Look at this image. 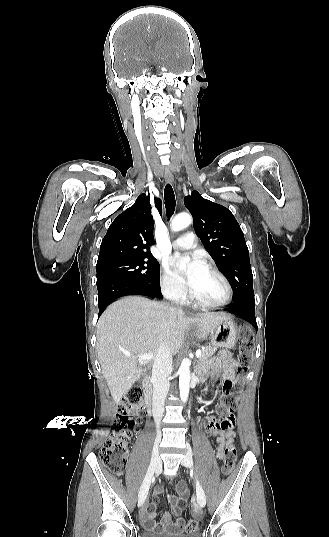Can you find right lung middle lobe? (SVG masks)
Listing matches in <instances>:
<instances>
[{"instance_id": "dd1d6c3e", "label": "right lung middle lobe", "mask_w": 329, "mask_h": 537, "mask_svg": "<svg viewBox=\"0 0 329 537\" xmlns=\"http://www.w3.org/2000/svg\"><path fill=\"white\" fill-rule=\"evenodd\" d=\"M113 276L160 286L159 263L155 258L115 260L97 265V279Z\"/></svg>"}]
</instances>
